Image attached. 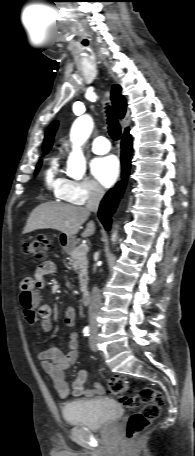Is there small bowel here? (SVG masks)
<instances>
[{"label":"small bowel","mask_w":195,"mask_h":456,"mask_svg":"<svg viewBox=\"0 0 195 456\" xmlns=\"http://www.w3.org/2000/svg\"><path fill=\"white\" fill-rule=\"evenodd\" d=\"M56 266L52 261H45L37 266L34 277H24L19 283L20 303L27 322L31 325L38 324L44 332L52 329L51 308L47 304H40L39 294L36 288H43L45 277L53 274ZM75 321V313L68 308L65 313V324L72 327ZM68 347L65 352L50 347L38 354L42 368L49 375L54 389L61 399H66L71 393L75 397H94L104 393L100 383H95L91 389L85 388L88 378L86 370H80L71 385V389L65 380V371L76 363L78 358V335L71 331L68 335Z\"/></svg>","instance_id":"obj_1"}]
</instances>
